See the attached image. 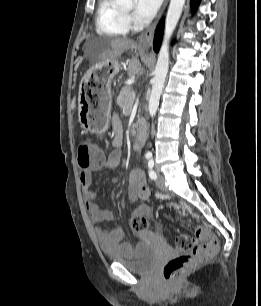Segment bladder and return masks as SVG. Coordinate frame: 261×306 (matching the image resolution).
Wrapping results in <instances>:
<instances>
[{"instance_id": "31cf9c89", "label": "bladder", "mask_w": 261, "mask_h": 306, "mask_svg": "<svg viewBox=\"0 0 261 306\" xmlns=\"http://www.w3.org/2000/svg\"><path fill=\"white\" fill-rule=\"evenodd\" d=\"M151 238L159 240L153 233ZM107 261L124 265L128 270L138 273H146L155 265L158 254L154 246L141 241L131 247L127 254L105 253Z\"/></svg>"}]
</instances>
